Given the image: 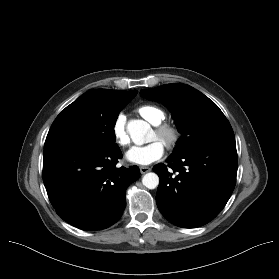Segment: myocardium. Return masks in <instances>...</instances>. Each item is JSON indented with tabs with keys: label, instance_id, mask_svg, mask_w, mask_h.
<instances>
[{
	"label": "myocardium",
	"instance_id": "myocardium-1",
	"mask_svg": "<svg viewBox=\"0 0 279 279\" xmlns=\"http://www.w3.org/2000/svg\"><path fill=\"white\" fill-rule=\"evenodd\" d=\"M154 132L156 138L160 140L168 149L174 148L180 139L179 130L168 123H160L155 125Z\"/></svg>",
	"mask_w": 279,
	"mask_h": 279
}]
</instances>
